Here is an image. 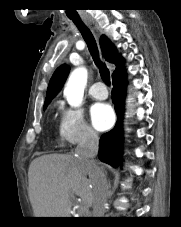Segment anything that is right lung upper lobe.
<instances>
[{
    "instance_id": "right-lung-upper-lobe-1",
    "label": "right lung upper lobe",
    "mask_w": 181,
    "mask_h": 227,
    "mask_svg": "<svg viewBox=\"0 0 181 227\" xmlns=\"http://www.w3.org/2000/svg\"><path fill=\"white\" fill-rule=\"evenodd\" d=\"M100 47L105 59L108 62L115 64V71L118 70L123 63L122 57L118 54L115 46L111 43V41L104 35H102L100 38ZM69 70L70 67L66 64L59 66L55 70L49 82L45 103H50L54 96L61 90L64 82L67 79Z\"/></svg>"
}]
</instances>
